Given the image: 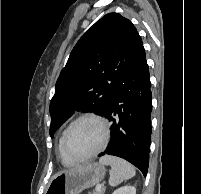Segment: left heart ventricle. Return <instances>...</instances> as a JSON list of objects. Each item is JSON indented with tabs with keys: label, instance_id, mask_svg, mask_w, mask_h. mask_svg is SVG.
Here are the masks:
<instances>
[{
	"label": "left heart ventricle",
	"instance_id": "obj_1",
	"mask_svg": "<svg viewBox=\"0 0 201 194\" xmlns=\"http://www.w3.org/2000/svg\"><path fill=\"white\" fill-rule=\"evenodd\" d=\"M103 131L93 120H82L76 123L68 133L67 152L75 157H82L93 152L101 143Z\"/></svg>",
	"mask_w": 201,
	"mask_h": 194
}]
</instances>
